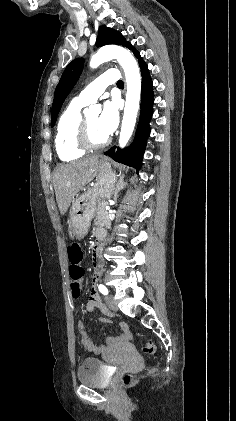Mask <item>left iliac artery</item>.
<instances>
[{
    "label": "left iliac artery",
    "instance_id": "44dca946",
    "mask_svg": "<svg viewBox=\"0 0 236 421\" xmlns=\"http://www.w3.org/2000/svg\"><path fill=\"white\" fill-rule=\"evenodd\" d=\"M99 291L103 294V295H107L108 294V289L106 288V286H104L103 284H100L98 286Z\"/></svg>",
    "mask_w": 236,
    "mask_h": 421
}]
</instances>
